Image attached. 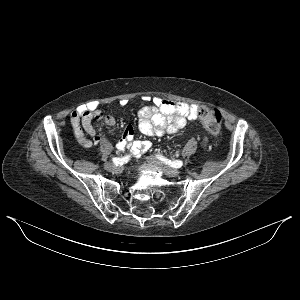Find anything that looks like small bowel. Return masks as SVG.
<instances>
[{"label":"small bowel","instance_id":"c3829d8e","mask_svg":"<svg viewBox=\"0 0 300 300\" xmlns=\"http://www.w3.org/2000/svg\"><path fill=\"white\" fill-rule=\"evenodd\" d=\"M146 100L151 101L152 105L145 106L138 112V130L144 136L175 134L186 125L188 120L196 117L197 106L194 104L173 102L160 97H149ZM127 103L128 100L126 99L120 101L122 106ZM101 119H104L108 126L116 124L113 116H103L96 102H89L72 112L71 125L78 142L83 147H91L101 140L93 126L94 121ZM118 147L120 150L131 149L134 156L138 158L150 149L151 142L148 140H135L134 129L129 126L125 129Z\"/></svg>","mask_w":300,"mask_h":300}]
</instances>
